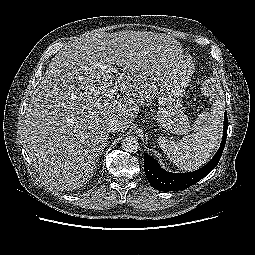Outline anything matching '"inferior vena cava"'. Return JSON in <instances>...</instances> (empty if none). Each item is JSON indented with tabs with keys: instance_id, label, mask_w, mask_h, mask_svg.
<instances>
[{
	"instance_id": "1",
	"label": "inferior vena cava",
	"mask_w": 255,
	"mask_h": 255,
	"mask_svg": "<svg viewBox=\"0 0 255 255\" xmlns=\"http://www.w3.org/2000/svg\"><path fill=\"white\" fill-rule=\"evenodd\" d=\"M107 131L108 132H115V131H118L119 129V123L118 121L116 120H110L108 123H107Z\"/></svg>"
}]
</instances>
